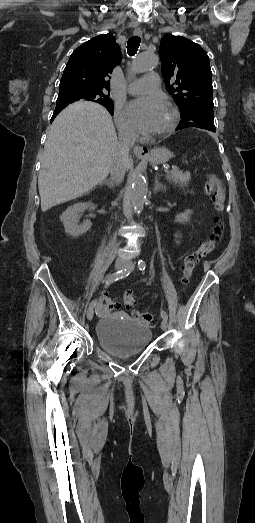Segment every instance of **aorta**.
<instances>
[{"mask_svg":"<svg viewBox=\"0 0 255 523\" xmlns=\"http://www.w3.org/2000/svg\"><path fill=\"white\" fill-rule=\"evenodd\" d=\"M159 63V58L153 53H142L133 61L132 72L142 73L155 68ZM146 180L140 170H136L132 176L131 200L134 209L140 213L146 199Z\"/></svg>","mask_w":255,"mask_h":523,"instance_id":"obj_1","label":"aorta"}]
</instances>
